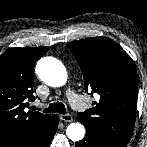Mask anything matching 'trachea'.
I'll use <instances>...</instances> for the list:
<instances>
[{"label":"trachea","mask_w":147,"mask_h":147,"mask_svg":"<svg viewBox=\"0 0 147 147\" xmlns=\"http://www.w3.org/2000/svg\"><path fill=\"white\" fill-rule=\"evenodd\" d=\"M44 113H60V114H66V108L63 103L56 102L51 103L47 108L43 110Z\"/></svg>","instance_id":"obj_1"}]
</instances>
